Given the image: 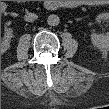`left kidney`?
I'll use <instances>...</instances> for the list:
<instances>
[{"label": "left kidney", "mask_w": 109, "mask_h": 109, "mask_svg": "<svg viewBox=\"0 0 109 109\" xmlns=\"http://www.w3.org/2000/svg\"><path fill=\"white\" fill-rule=\"evenodd\" d=\"M97 22H108L109 21V14L108 13H102L99 14L96 18ZM91 42L92 44L97 47L98 49H107L109 46V34H91Z\"/></svg>", "instance_id": "left-kidney-1"}]
</instances>
